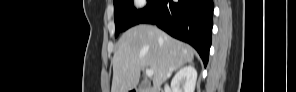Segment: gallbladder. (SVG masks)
I'll return each mask as SVG.
<instances>
[{
  "mask_svg": "<svg viewBox=\"0 0 296 92\" xmlns=\"http://www.w3.org/2000/svg\"><path fill=\"white\" fill-rule=\"evenodd\" d=\"M139 89H140L141 91H144V90L146 89V85L142 83V84L139 86Z\"/></svg>",
  "mask_w": 296,
  "mask_h": 92,
  "instance_id": "gallbladder-1",
  "label": "gallbladder"
}]
</instances>
